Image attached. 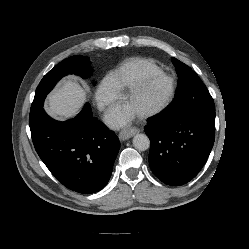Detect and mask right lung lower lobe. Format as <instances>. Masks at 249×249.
Here are the masks:
<instances>
[{"instance_id":"98d812e1","label":"right lung lower lobe","mask_w":249,"mask_h":249,"mask_svg":"<svg viewBox=\"0 0 249 249\" xmlns=\"http://www.w3.org/2000/svg\"><path fill=\"white\" fill-rule=\"evenodd\" d=\"M29 124L35 150L64 186L84 194L106 186L119 151V139L92 117L88 103L75 118L64 122L50 118L41 108Z\"/></svg>"}]
</instances>
